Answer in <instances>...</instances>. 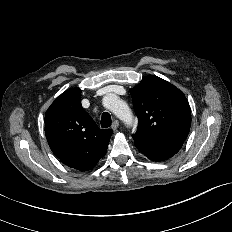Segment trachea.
<instances>
[{
    "label": "trachea",
    "instance_id": "1",
    "mask_svg": "<svg viewBox=\"0 0 232 232\" xmlns=\"http://www.w3.org/2000/svg\"><path fill=\"white\" fill-rule=\"evenodd\" d=\"M111 126V115L108 112H104L101 117V127L108 128Z\"/></svg>",
    "mask_w": 232,
    "mask_h": 232
}]
</instances>
